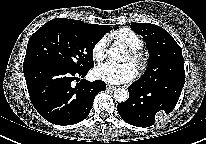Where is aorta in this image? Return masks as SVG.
<instances>
[{
	"instance_id": "obj_1",
	"label": "aorta",
	"mask_w": 206,
	"mask_h": 144,
	"mask_svg": "<svg viewBox=\"0 0 206 144\" xmlns=\"http://www.w3.org/2000/svg\"><path fill=\"white\" fill-rule=\"evenodd\" d=\"M108 55L117 62H123L126 56V50L121 44L114 43L107 51ZM129 98V93L124 88H118L114 91V99L118 102H125Z\"/></svg>"
}]
</instances>
